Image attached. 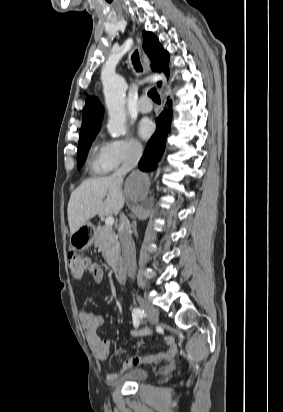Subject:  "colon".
Wrapping results in <instances>:
<instances>
[{
  "label": "colon",
  "instance_id": "obj_1",
  "mask_svg": "<svg viewBox=\"0 0 283 412\" xmlns=\"http://www.w3.org/2000/svg\"><path fill=\"white\" fill-rule=\"evenodd\" d=\"M96 262L87 260L80 255L70 254L68 257V268L74 277H81L85 272L95 269Z\"/></svg>",
  "mask_w": 283,
  "mask_h": 412
}]
</instances>
